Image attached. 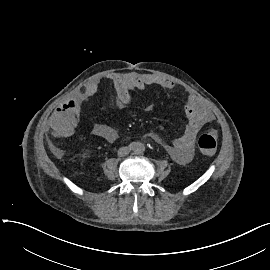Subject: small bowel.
<instances>
[{
    "instance_id": "obj_1",
    "label": "small bowel",
    "mask_w": 270,
    "mask_h": 270,
    "mask_svg": "<svg viewBox=\"0 0 270 270\" xmlns=\"http://www.w3.org/2000/svg\"><path fill=\"white\" fill-rule=\"evenodd\" d=\"M106 79L112 83L115 89L119 108H126L131 104V93L134 90H144L149 86H157L166 90L177 89L172 80L151 73H113L108 75ZM98 89L99 81H91L75 99H71L63 105V110L70 115V121L67 127L59 132V135L67 136L73 131L75 120L79 117L82 106L96 94ZM146 110L151 112L154 110V106L148 105ZM184 113L187 118L184 133L171 143L166 142L163 135L158 131L151 134V138L160 143L174 161L181 164L190 161L193 157L195 139L200 130L214 121L213 114L195 95L187 96ZM91 132L94 136L110 143L115 142L120 136L116 127L105 124H95Z\"/></svg>"
}]
</instances>
